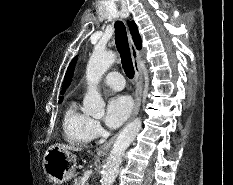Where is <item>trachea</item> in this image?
Instances as JSON below:
<instances>
[{"label": "trachea", "instance_id": "1", "mask_svg": "<svg viewBox=\"0 0 233 185\" xmlns=\"http://www.w3.org/2000/svg\"><path fill=\"white\" fill-rule=\"evenodd\" d=\"M115 44L121 57V63L125 74L128 78L134 77V67L131 59L126 28L123 22L117 21L115 23Z\"/></svg>", "mask_w": 233, "mask_h": 185}]
</instances>
